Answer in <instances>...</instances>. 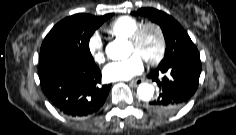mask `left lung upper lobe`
<instances>
[{"label":"left lung upper lobe","instance_id":"1","mask_svg":"<svg viewBox=\"0 0 236 135\" xmlns=\"http://www.w3.org/2000/svg\"><path fill=\"white\" fill-rule=\"evenodd\" d=\"M132 15L146 16L162 28L166 49L164 58L159 66L173 60L183 59L190 55L191 52L198 51L182 26L165 12L154 8H141L138 11L132 12Z\"/></svg>","mask_w":236,"mask_h":135}]
</instances>
